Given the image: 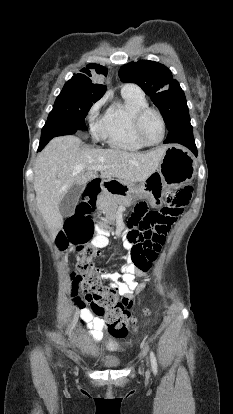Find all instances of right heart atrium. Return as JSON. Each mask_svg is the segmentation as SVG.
I'll return each mask as SVG.
<instances>
[{
  "instance_id": "right-heart-atrium-1",
  "label": "right heart atrium",
  "mask_w": 233,
  "mask_h": 414,
  "mask_svg": "<svg viewBox=\"0 0 233 414\" xmlns=\"http://www.w3.org/2000/svg\"><path fill=\"white\" fill-rule=\"evenodd\" d=\"M104 100H99L98 102H96L89 110L88 113V120L90 122H92L96 116L98 115V112L103 104ZM96 135L98 136V134L96 133Z\"/></svg>"
}]
</instances>
